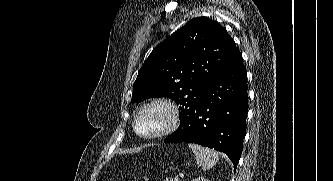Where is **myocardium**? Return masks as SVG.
Segmentation results:
<instances>
[{
	"mask_svg": "<svg viewBox=\"0 0 333 181\" xmlns=\"http://www.w3.org/2000/svg\"><path fill=\"white\" fill-rule=\"evenodd\" d=\"M153 107H159L162 108L166 115H167V121L162 129L159 131H156L151 134H141L138 131L137 123L140 118V116L148 109ZM180 124V109L178 105L171 99L168 98H153L147 102H145L136 112L134 119H133V130L136 133L137 136L143 139H156L164 137L170 133H172L174 130L177 129V127Z\"/></svg>",
	"mask_w": 333,
	"mask_h": 181,
	"instance_id": "myocardium-1",
	"label": "myocardium"
}]
</instances>
